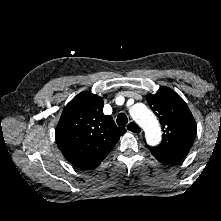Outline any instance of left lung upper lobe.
Masks as SVG:
<instances>
[{
	"label": "left lung upper lobe",
	"instance_id": "obj_1",
	"mask_svg": "<svg viewBox=\"0 0 221 221\" xmlns=\"http://www.w3.org/2000/svg\"><path fill=\"white\" fill-rule=\"evenodd\" d=\"M146 100L162 125L163 139L156 148L192 146L196 122L184 100L168 87H161L155 95H147Z\"/></svg>",
	"mask_w": 221,
	"mask_h": 221
}]
</instances>
